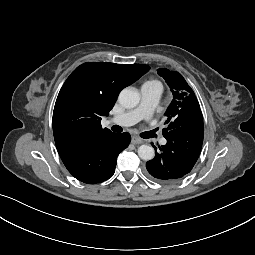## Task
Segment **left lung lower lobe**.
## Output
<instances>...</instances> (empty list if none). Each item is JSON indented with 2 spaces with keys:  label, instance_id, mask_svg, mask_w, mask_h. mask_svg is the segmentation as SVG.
Returning <instances> with one entry per match:
<instances>
[{
  "label": "left lung lower lobe",
  "instance_id": "1",
  "mask_svg": "<svg viewBox=\"0 0 255 255\" xmlns=\"http://www.w3.org/2000/svg\"><path fill=\"white\" fill-rule=\"evenodd\" d=\"M203 120L171 130L166 145L157 148L154 159L146 163L149 174L157 181L173 183L185 177L195 165L203 143Z\"/></svg>",
  "mask_w": 255,
  "mask_h": 255
}]
</instances>
